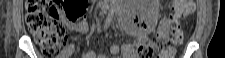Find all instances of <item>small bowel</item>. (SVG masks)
<instances>
[{
    "label": "small bowel",
    "mask_w": 225,
    "mask_h": 58,
    "mask_svg": "<svg viewBox=\"0 0 225 58\" xmlns=\"http://www.w3.org/2000/svg\"><path fill=\"white\" fill-rule=\"evenodd\" d=\"M62 21L69 29L74 32L86 34L89 30L88 23L85 20L74 22L69 21L65 17H63ZM128 32L136 36V40L133 44H114L106 53L96 54L95 52H87L82 55V58H110L111 56L117 55L119 53H121L122 58H136L134 50L138 45L146 43L148 41L147 31H142L140 29L130 27L128 29ZM73 50L74 45L69 44L64 49L61 58H67L73 52Z\"/></svg>",
    "instance_id": "c3829d8e"
}]
</instances>
